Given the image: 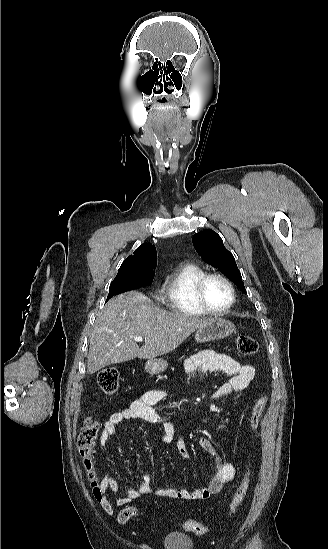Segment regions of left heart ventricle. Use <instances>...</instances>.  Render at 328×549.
I'll return each mask as SVG.
<instances>
[{
  "label": "left heart ventricle",
  "mask_w": 328,
  "mask_h": 549,
  "mask_svg": "<svg viewBox=\"0 0 328 549\" xmlns=\"http://www.w3.org/2000/svg\"><path fill=\"white\" fill-rule=\"evenodd\" d=\"M206 308L213 311H221L231 301V292L226 283L219 279L210 280L205 289Z\"/></svg>",
  "instance_id": "obj_1"
}]
</instances>
